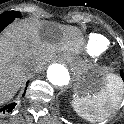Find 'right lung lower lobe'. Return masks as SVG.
Here are the masks:
<instances>
[{"label": "right lung lower lobe", "instance_id": "obj_1", "mask_svg": "<svg viewBox=\"0 0 124 124\" xmlns=\"http://www.w3.org/2000/svg\"><path fill=\"white\" fill-rule=\"evenodd\" d=\"M14 20V18H0V32L8 25L10 24L12 21ZM28 83V82H27ZM25 93V92H24ZM16 103H12L10 105L5 106L4 108H2L0 110V112L3 113H7V112H11L14 107H15Z\"/></svg>", "mask_w": 124, "mask_h": 124}]
</instances>
